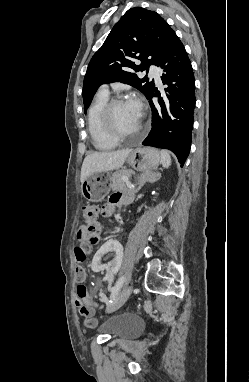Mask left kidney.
<instances>
[{
	"label": "left kidney",
	"mask_w": 249,
	"mask_h": 382,
	"mask_svg": "<svg viewBox=\"0 0 249 382\" xmlns=\"http://www.w3.org/2000/svg\"><path fill=\"white\" fill-rule=\"evenodd\" d=\"M155 203H161L162 197L155 196ZM142 205V204H141ZM126 245H119L116 237H109L107 244L102 245L101 249L96 253L91 260V269L94 273H105L104 283L106 287H111L112 283H115L116 272L121 266V262L126 255L125 252ZM106 255L107 258H114L109 262H105L103 255ZM98 297L101 295L99 292L96 294ZM104 297L107 295L105 292L102 294Z\"/></svg>",
	"instance_id": "5707ae66"
}]
</instances>
